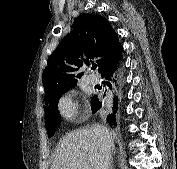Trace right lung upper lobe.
<instances>
[{
    "instance_id": "obj_1",
    "label": "right lung upper lobe",
    "mask_w": 177,
    "mask_h": 169,
    "mask_svg": "<svg viewBox=\"0 0 177 169\" xmlns=\"http://www.w3.org/2000/svg\"><path fill=\"white\" fill-rule=\"evenodd\" d=\"M123 47L109 21L100 15L81 14L74 29L61 41L50 56L42 81L45 102L56 100L76 85L84 73L83 65L98 63V71L116 64L122 58Z\"/></svg>"
}]
</instances>
